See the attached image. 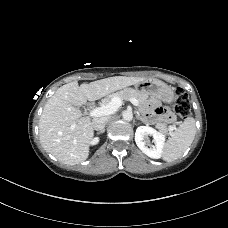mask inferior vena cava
I'll return each mask as SVG.
<instances>
[{
    "mask_svg": "<svg viewBox=\"0 0 228 228\" xmlns=\"http://www.w3.org/2000/svg\"><path fill=\"white\" fill-rule=\"evenodd\" d=\"M110 117H100V118H95L92 121L93 128L97 131H101L104 129L107 121L109 120Z\"/></svg>",
    "mask_w": 228,
    "mask_h": 228,
    "instance_id": "602c4592",
    "label": "inferior vena cava"
}]
</instances>
